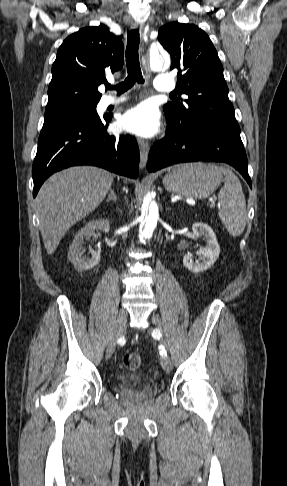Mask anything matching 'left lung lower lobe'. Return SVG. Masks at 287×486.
Instances as JSON below:
<instances>
[{"label":"left lung lower lobe","mask_w":287,"mask_h":486,"mask_svg":"<svg viewBox=\"0 0 287 486\" xmlns=\"http://www.w3.org/2000/svg\"><path fill=\"white\" fill-rule=\"evenodd\" d=\"M193 161L228 163L252 186L240 134L206 124L180 125L168 119L166 136L149 152L148 171L155 172L173 164Z\"/></svg>","instance_id":"0a47b994"}]
</instances>
